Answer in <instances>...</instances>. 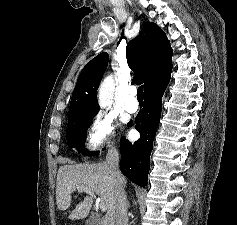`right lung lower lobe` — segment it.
I'll list each match as a JSON object with an SVG mask.
<instances>
[{
	"label": "right lung lower lobe",
	"mask_w": 237,
	"mask_h": 225,
	"mask_svg": "<svg viewBox=\"0 0 237 225\" xmlns=\"http://www.w3.org/2000/svg\"><path fill=\"white\" fill-rule=\"evenodd\" d=\"M169 80L144 93V108L136 117V129L141 134L140 139L134 144L125 137L120 140L121 172L139 186L147 184L153 140L160 122L162 95ZM128 126H132V122Z\"/></svg>",
	"instance_id": "obj_1"
}]
</instances>
